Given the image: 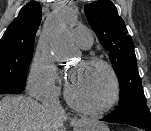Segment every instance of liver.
<instances>
[{"label":"liver","mask_w":151,"mask_h":131,"mask_svg":"<svg viewBox=\"0 0 151 131\" xmlns=\"http://www.w3.org/2000/svg\"><path fill=\"white\" fill-rule=\"evenodd\" d=\"M64 110L49 111L26 96H5L0 101V131H61Z\"/></svg>","instance_id":"liver-1"}]
</instances>
